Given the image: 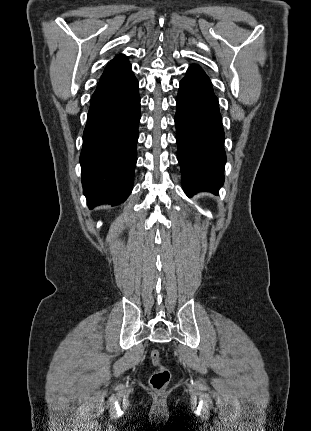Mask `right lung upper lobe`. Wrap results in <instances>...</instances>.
<instances>
[{
	"label": "right lung upper lobe",
	"instance_id": "1",
	"mask_svg": "<svg viewBox=\"0 0 311 431\" xmlns=\"http://www.w3.org/2000/svg\"><path fill=\"white\" fill-rule=\"evenodd\" d=\"M131 65L126 56L123 54L117 55L111 62L108 63L101 78L109 77L121 73L129 69Z\"/></svg>",
	"mask_w": 311,
	"mask_h": 431
}]
</instances>
